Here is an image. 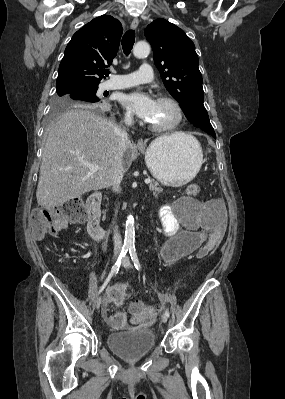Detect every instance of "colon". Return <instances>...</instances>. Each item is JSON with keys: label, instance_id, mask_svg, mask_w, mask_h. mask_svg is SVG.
<instances>
[{"label": "colon", "instance_id": "5ec220e1", "mask_svg": "<svg viewBox=\"0 0 285 399\" xmlns=\"http://www.w3.org/2000/svg\"><path fill=\"white\" fill-rule=\"evenodd\" d=\"M200 187L197 183H191L186 188L188 196H197ZM86 220V210L80 198H73L60 206L38 208L30 217V225L36 236H44L52 231L65 227L69 222L83 223ZM221 239L212 237L200 250L202 256L214 253L219 247ZM130 311L135 316H151L154 314L152 307L145 306L142 301L136 300L131 304Z\"/></svg>", "mask_w": 285, "mask_h": 399}]
</instances>
